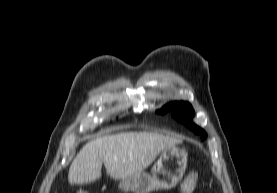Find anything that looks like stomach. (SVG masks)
<instances>
[{
  "mask_svg": "<svg viewBox=\"0 0 277 193\" xmlns=\"http://www.w3.org/2000/svg\"><path fill=\"white\" fill-rule=\"evenodd\" d=\"M188 154L178 147L165 148L151 173L141 172L122 179L119 188L125 192L150 193L155 190L171 189L182 179L187 166Z\"/></svg>",
  "mask_w": 277,
  "mask_h": 193,
  "instance_id": "0dacf381",
  "label": "stomach"
}]
</instances>
